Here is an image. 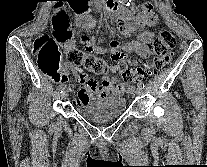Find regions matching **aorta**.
I'll return each instance as SVG.
<instances>
[{"label":"aorta","mask_w":207,"mask_h":167,"mask_svg":"<svg viewBox=\"0 0 207 167\" xmlns=\"http://www.w3.org/2000/svg\"><path fill=\"white\" fill-rule=\"evenodd\" d=\"M127 6H130L131 0H122Z\"/></svg>","instance_id":"762f6f07"}]
</instances>
